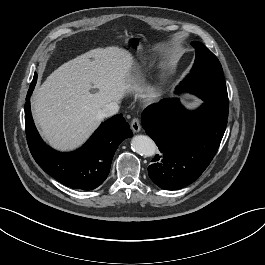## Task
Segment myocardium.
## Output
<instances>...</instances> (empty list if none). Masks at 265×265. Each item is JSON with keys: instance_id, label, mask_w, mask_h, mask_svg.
Listing matches in <instances>:
<instances>
[{"instance_id": "f54148a6", "label": "myocardium", "mask_w": 265, "mask_h": 265, "mask_svg": "<svg viewBox=\"0 0 265 265\" xmlns=\"http://www.w3.org/2000/svg\"><path fill=\"white\" fill-rule=\"evenodd\" d=\"M157 92H158V91L152 93V94L150 95V98L154 97V96L157 94Z\"/></svg>"}]
</instances>
